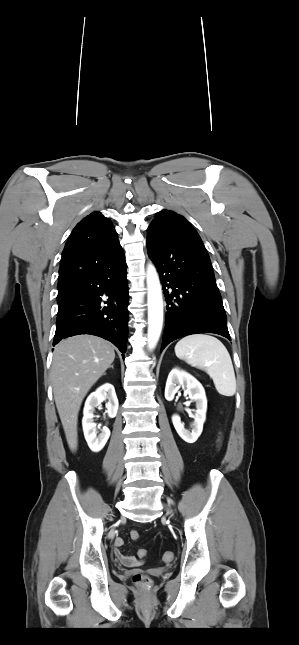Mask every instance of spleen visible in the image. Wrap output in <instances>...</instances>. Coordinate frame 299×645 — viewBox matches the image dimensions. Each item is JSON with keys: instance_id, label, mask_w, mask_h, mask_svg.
Returning <instances> with one entry per match:
<instances>
[{"instance_id": "1", "label": "spleen", "mask_w": 299, "mask_h": 645, "mask_svg": "<svg viewBox=\"0 0 299 645\" xmlns=\"http://www.w3.org/2000/svg\"><path fill=\"white\" fill-rule=\"evenodd\" d=\"M175 354L188 364L204 370L212 378L219 394H235L236 378L233 364L229 352L220 340L206 334L188 335L177 342Z\"/></svg>"}]
</instances>
